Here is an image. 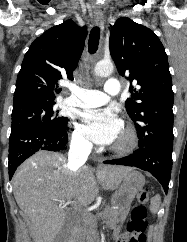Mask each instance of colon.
I'll return each instance as SVG.
<instances>
[{
    "mask_svg": "<svg viewBox=\"0 0 187 242\" xmlns=\"http://www.w3.org/2000/svg\"><path fill=\"white\" fill-rule=\"evenodd\" d=\"M149 201L148 189L141 190L137 195V206L134 207L127 226L128 235L118 242H146V231L149 223L146 219V205Z\"/></svg>",
    "mask_w": 187,
    "mask_h": 242,
    "instance_id": "5ec220e1",
    "label": "colon"
}]
</instances>
